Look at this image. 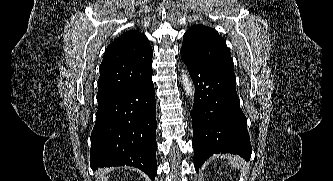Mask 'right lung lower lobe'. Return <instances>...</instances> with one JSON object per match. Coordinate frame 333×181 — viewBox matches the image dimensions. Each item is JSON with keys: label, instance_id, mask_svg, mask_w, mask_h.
Masks as SVG:
<instances>
[{"label": "right lung lower lobe", "instance_id": "right-lung-lower-lobe-1", "mask_svg": "<svg viewBox=\"0 0 333 181\" xmlns=\"http://www.w3.org/2000/svg\"><path fill=\"white\" fill-rule=\"evenodd\" d=\"M156 105L152 76L98 102L90 166H133L152 180L156 163Z\"/></svg>", "mask_w": 333, "mask_h": 181}]
</instances>
